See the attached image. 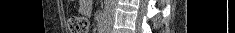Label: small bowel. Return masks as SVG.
Segmentation results:
<instances>
[{"label":"small bowel","mask_w":235,"mask_h":33,"mask_svg":"<svg viewBox=\"0 0 235 33\" xmlns=\"http://www.w3.org/2000/svg\"><path fill=\"white\" fill-rule=\"evenodd\" d=\"M88 4L85 2L83 5H81V10L83 11V12H86L87 10H88Z\"/></svg>","instance_id":"obj_1"}]
</instances>
